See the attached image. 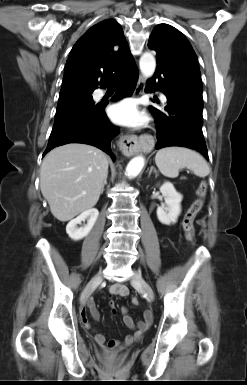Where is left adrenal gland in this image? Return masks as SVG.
<instances>
[{"label":"left adrenal gland","mask_w":247,"mask_h":385,"mask_svg":"<svg viewBox=\"0 0 247 385\" xmlns=\"http://www.w3.org/2000/svg\"><path fill=\"white\" fill-rule=\"evenodd\" d=\"M152 172H154L157 176V170L155 169L154 166H151L150 171H149V176L151 175Z\"/></svg>","instance_id":"obj_1"}]
</instances>
